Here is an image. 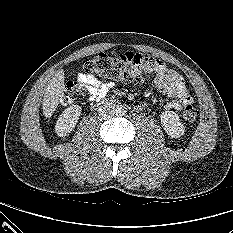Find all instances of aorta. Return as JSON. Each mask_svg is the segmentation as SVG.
<instances>
[{
    "label": "aorta",
    "mask_w": 233,
    "mask_h": 233,
    "mask_svg": "<svg viewBox=\"0 0 233 233\" xmlns=\"http://www.w3.org/2000/svg\"><path fill=\"white\" fill-rule=\"evenodd\" d=\"M115 111H116V114L122 116L126 113V107L124 105H118Z\"/></svg>",
    "instance_id": "1"
}]
</instances>
